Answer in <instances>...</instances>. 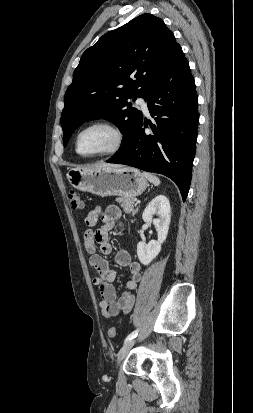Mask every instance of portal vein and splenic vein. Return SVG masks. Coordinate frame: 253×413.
I'll return each mask as SVG.
<instances>
[{
    "instance_id": "18ae733b",
    "label": "portal vein and splenic vein",
    "mask_w": 253,
    "mask_h": 413,
    "mask_svg": "<svg viewBox=\"0 0 253 413\" xmlns=\"http://www.w3.org/2000/svg\"><path fill=\"white\" fill-rule=\"evenodd\" d=\"M134 201L136 202V203H139L140 201H138L137 199H134Z\"/></svg>"
}]
</instances>
